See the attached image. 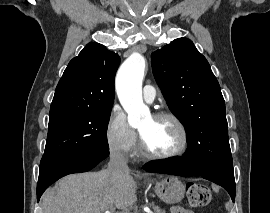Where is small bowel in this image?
I'll use <instances>...</instances> for the list:
<instances>
[{
    "instance_id": "obj_1",
    "label": "small bowel",
    "mask_w": 270,
    "mask_h": 213,
    "mask_svg": "<svg viewBox=\"0 0 270 213\" xmlns=\"http://www.w3.org/2000/svg\"><path fill=\"white\" fill-rule=\"evenodd\" d=\"M171 213H194V212L182 207H173Z\"/></svg>"
}]
</instances>
